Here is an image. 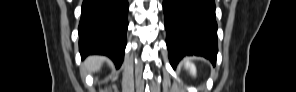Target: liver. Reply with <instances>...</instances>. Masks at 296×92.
Wrapping results in <instances>:
<instances>
[{
  "instance_id": "6515ba94",
  "label": "liver",
  "mask_w": 296,
  "mask_h": 92,
  "mask_svg": "<svg viewBox=\"0 0 296 92\" xmlns=\"http://www.w3.org/2000/svg\"><path fill=\"white\" fill-rule=\"evenodd\" d=\"M105 60L102 56H90L84 62V67L90 73H94L100 70L103 61Z\"/></svg>"
}]
</instances>
